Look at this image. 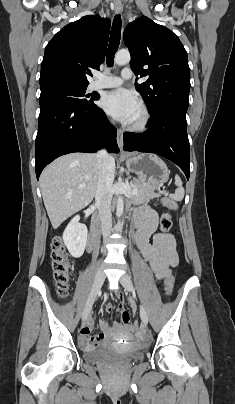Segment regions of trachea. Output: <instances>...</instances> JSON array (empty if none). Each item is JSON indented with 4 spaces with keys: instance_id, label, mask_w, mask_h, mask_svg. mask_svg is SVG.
Instances as JSON below:
<instances>
[{
    "instance_id": "obj_1",
    "label": "trachea",
    "mask_w": 235,
    "mask_h": 404,
    "mask_svg": "<svg viewBox=\"0 0 235 404\" xmlns=\"http://www.w3.org/2000/svg\"><path fill=\"white\" fill-rule=\"evenodd\" d=\"M120 38H121V16L116 15L113 20L109 46H108V50H107V54H106V63H107L108 67L113 66L114 55H115L116 51L118 50Z\"/></svg>"
}]
</instances>
